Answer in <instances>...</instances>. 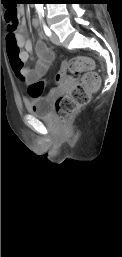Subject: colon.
<instances>
[{
  "label": "colon",
  "mask_w": 122,
  "mask_h": 257,
  "mask_svg": "<svg viewBox=\"0 0 122 257\" xmlns=\"http://www.w3.org/2000/svg\"><path fill=\"white\" fill-rule=\"evenodd\" d=\"M3 10H7L5 18L9 28L15 29L18 24V5H3ZM93 69L94 61L89 57L77 56L66 60L50 79H38V82L28 83V98H48L52 90H59L58 84L64 83L66 75L85 72L81 81L55 102L57 117L66 123L75 112L89 102L91 94L99 88L100 78Z\"/></svg>",
  "instance_id": "colon-1"
}]
</instances>
